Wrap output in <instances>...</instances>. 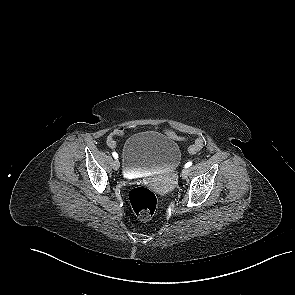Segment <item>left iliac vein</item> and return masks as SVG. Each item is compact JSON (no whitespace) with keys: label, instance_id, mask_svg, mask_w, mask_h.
I'll return each mask as SVG.
<instances>
[{"label":"left iliac vein","instance_id":"4c4485c4","mask_svg":"<svg viewBox=\"0 0 295 295\" xmlns=\"http://www.w3.org/2000/svg\"><path fill=\"white\" fill-rule=\"evenodd\" d=\"M182 178L183 179H186L187 177H188V175H189V169L188 168H184L183 170H182Z\"/></svg>","mask_w":295,"mask_h":295}]
</instances>
